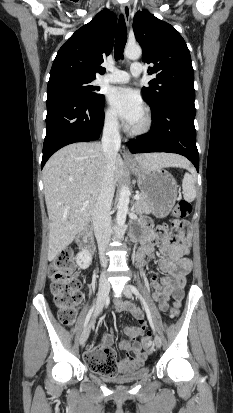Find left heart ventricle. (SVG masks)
I'll use <instances>...</instances> for the list:
<instances>
[{
	"label": "left heart ventricle",
	"instance_id": "left-heart-ventricle-1",
	"mask_svg": "<svg viewBox=\"0 0 233 413\" xmlns=\"http://www.w3.org/2000/svg\"><path fill=\"white\" fill-rule=\"evenodd\" d=\"M141 121H142V117L139 119V121H137L133 126H137V125H139L140 123H141Z\"/></svg>",
	"mask_w": 233,
	"mask_h": 413
}]
</instances>
